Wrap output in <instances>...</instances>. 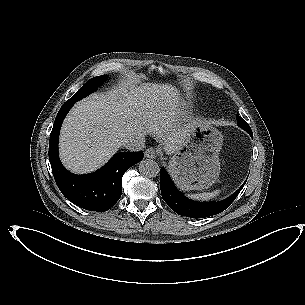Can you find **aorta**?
Instances as JSON below:
<instances>
[{"label": "aorta", "instance_id": "762f6f07", "mask_svg": "<svg viewBox=\"0 0 305 305\" xmlns=\"http://www.w3.org/2000/svg\"><path fill=\"white\" fill-rule=\"evenodd\" d=\"M138 167L141 175L147 178L156 177L160 172L158 163L151 159H143L141 162H139Z\"/></svg>", "mask_w": 305, "mask_h": 305}]
</instances>
